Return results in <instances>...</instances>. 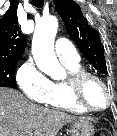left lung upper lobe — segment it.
<instances>
[{"mask_svg": "<svg viewBox=\"0 0 117 136\" xmlns=\"http://www.w3.org/2000/svg\"><path fill=\"white\" fill-rule=\"evenodd\" d=\"M55 8L63 19L69 36L84 57L101 74H107L104 47L97 30L88 25L79 5L73 0H54Z\"/></svg>", "mask_w": 117, "mask_h": 136, "instance_id": "5c2ea615", "label": "left lung upper lobe"}]
</instances>
